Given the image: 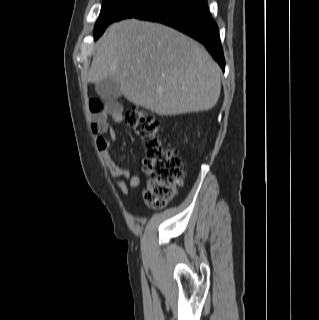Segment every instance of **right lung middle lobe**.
<instances>
[{"label":"right lung middle lobe","instance_id":"dd1d6c3e","mask_svg":"<svg viewBox=\"0 0 319 320\" xmlns=\"http://www.w3.org/2000/svg\"><path fill=\"white\" fill-rule=\"evenodd\" d=\"M173 0H104L96 22L94 36L98 38L113 21L137 17L151 9L164 6Z\"/></svg>","mask_w":319,"mask_h":320}]
</instances>
